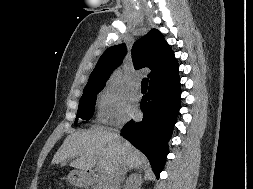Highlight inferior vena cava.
Segmentation results:
<instances>
[{"label":"inferior vena cava","instance_id":"inferior-vena-cava-1","mask_svg":"<svg viewBox=\"0 0 253 189\" xmlns=\"http://www.w3.org/2000/svg\"><path fill=\"white\" fill-rule=\"evenodd\" d=\"M126 174V167L116 166L114 170L106 177L103 189H120V184Z\"/></svg>","mask_w":253,"mask_h":189}]
</instances>
